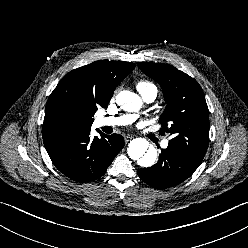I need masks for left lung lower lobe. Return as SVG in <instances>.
Returning a JSON list of instances; mask_svg holds the SVG:
<instances>
[{"label": "left lung lower lobe", "mask_w": 248, "mask_h": 248, "mask_svg": "<svg viewBox=\"0 0 248 248\" xmlns=\"http://www.w3.org/2000/svg\"><path fill=\"white\" fill-rule=\"evenodd\" d=\"M197 163L172 146L161 150L158 162L146 169H138L139 177L149 186L166 189L180 184L198 168Z\"/></svg>", "instance_id": "1"}]
</instances>
